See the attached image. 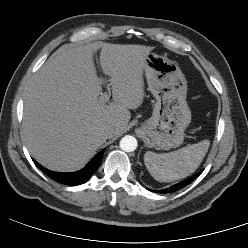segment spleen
<instances>
[{"mask_svg": "<svg viewBox=\"0 0 248 248\" xmlns=\"http://www.w3.org/2000/svg\"><path fill=\"white\" fill-rule=\"evenodd\" d=\"M210 141L205 139L170 153L147 151L144 162L151 176L159 182H171L192 174L205 157Z\"/></svg>", "mask_w": 248, "mask_h": 248, "instance_id": "1", "label": "spleen"}]
</instances>
